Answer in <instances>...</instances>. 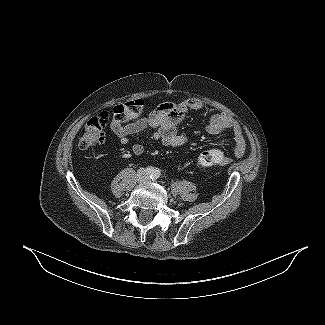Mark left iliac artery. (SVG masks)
Wrapping results in <instances>:
<instances>
[{"instance_id":"left-iliac-artery-1","label":"left iliac artery","mask_w":325,"mask_h":325,"mask_svg":"<svg viewBox=\"0 0 325 325\" xmlns=\"http://www.w3.org/2000/svg\"><path fill=\"white\" fill-rule=\"evenodd\" d=\"M160 177V173L159 171H155V173L151 176V179L152 180H156Z\"/></svg>"}]
</instances>
